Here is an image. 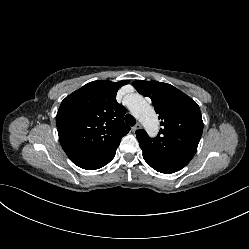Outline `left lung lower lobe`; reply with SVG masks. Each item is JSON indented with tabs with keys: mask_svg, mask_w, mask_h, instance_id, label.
Masks as SVG:
<instances>
[{
	"mask_svg": "<svg viewBox=\"0 0 249 249\" xmlns=\"http://www.w3.org/2000/svg\"><path fill=\"white\" fill-rule=\"evenodd\" d=\"M144 160L156 171L161 172V173H174L177 172L179 170H181L183 167L181 166H177V165H173V164H166V163H160V162H156L153 160H149L144 158Z\"/></svg>",
	"mask_w": 249,
	"mask_h": 249,
	"instance_id": "obj_1",
	"label": "left lung lower lobe"
}]
</instances>
